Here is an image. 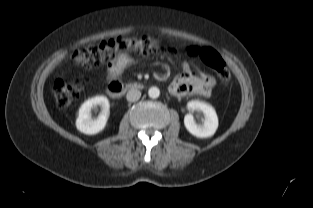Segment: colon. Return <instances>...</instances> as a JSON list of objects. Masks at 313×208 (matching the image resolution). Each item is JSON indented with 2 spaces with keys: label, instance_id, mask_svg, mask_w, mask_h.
Masks as SVG:
<instances>
[{
  "label": "colon",
  "instance_id": "obj_1",
  "mask_svg": "<svg viewBox=\"0 0 313 208\" xmlns=\"http://www.w3.org/2000/svg\"><path fill=\"white\" fill-rule=\"evenodd\" d=\"M168 48L155 37H141L133 39H112L102 42L98 46L84 45L76 48L71 53V64L73 66L91 64L97 60L108 59L118 53L135 52L139 54H160ZM187 53L190 57L198 58L207 66L212 68L224 84L230 83V73L221 56L210 48H189ZM210 84L213 78L205 73ZM84 80L78 77L58 78L53 86L56 103L59 107L70 105L80 94Z\"/></svg>",
  "mask_w": 313,
  "mask_h": 208
}]
</instances>
